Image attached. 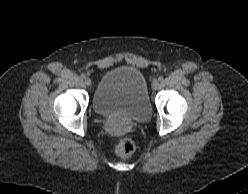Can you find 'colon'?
<instances>
[{
  "label": "colon",
  "instance_id": "colon-1",
  "mask_svg": "<svg viewBox=\"0 0 248 194\" xmlns=\"http://www.w3.org/2000/svg\"><path fill=\"white\" fill-rule=\"evenodd\" d=\"M135 146L128 138L119 139L114 146L115 153L121 157H127L134 152Z\"/></svg>",
  "mask_w": 248,
  "mask_h": 194
}]
</instances>
